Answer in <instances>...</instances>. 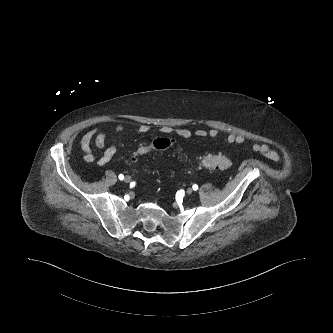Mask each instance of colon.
<instances>
[{
	"instance_id": "colon-1",
	"label": "colon",
	"mask_w": 333,
	"mask_h": 333,
	"mask_svg": "<svg viewBox=\"0 0 333 333\" xmlns=\"http://www.w3.org/2000/svg\"><path fill=\"white\" fill-rule=\"evenodd\" d=\"M98 148L104 147V141L100 137L94 139ZM172 139L166 137H157L152 142L139 145L131 154L130 160L135 161L138 158L147 155L155 150L167 149L172 145ZM232 165V160L225 154H208L200 161V167L206 169L226 170Z\"/></svg>"
}]
</instances>
